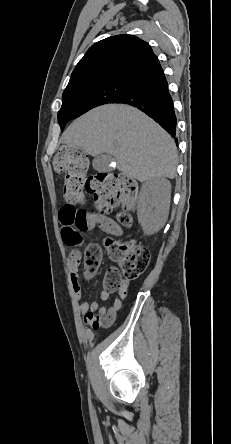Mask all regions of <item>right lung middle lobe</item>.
I'll list each match as a JSON object with an SVG mask.
<instances>
[{
	"label": "right lung middle lobe",
	"instance_id": "right-lung-middle-lobe-1",
	"mask_svg": "<svg viewBox=\"0 0 231 444\" xmlns=\"http://www.w3.org/2000/svg\"><path fill=\"white\" fill-rule=\"evenodd\" d=\"M133 86L122 83H104L82 89L65 90L58 112L61 130L66 123L99 105L114 103Z\"/></svg>",
	"mask_w": 231,
	"mask_h": 444
}]
</instances>
